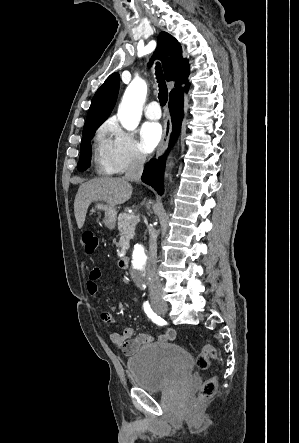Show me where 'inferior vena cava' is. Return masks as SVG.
<instances>
[{"mask_svg": "<svg viewBox=\"0 0 299 443\" xmlns=\"http://www.w3.org/2000/svg\"><path fill=\"white\" fill-rule=\"evenodd\" d=\"M146 157L137 153L134 155L132 162L125 173L124 179L128 181H139L143 172V165ZM149 293L151 297H157L162 294V283L156 272L157 267V237L152 229H149Z\"/></svg>", "mask_w": 299, "mask_h": 443, "instance_id": "602c4592", "label": "inferior vena cava"}]
</instances>
